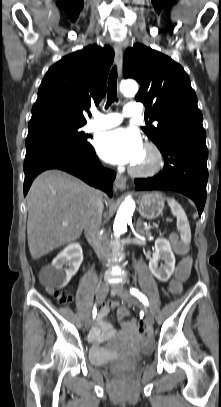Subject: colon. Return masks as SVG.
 <instances>
[{"label": "colon", "mask_w": 221, "mask_h": 407, "mask_svg": "<svg viewBox=\"0 0 221 407\" xmlns=\"http://www.w3.org/2000/svg\"><path fill=\"white\" fill-rule=\"evenodd\" d=\"M174 245L178 252L185 253L187 246L182 242L174 239ZM194 257L192 255H184L182 260L178 261V265L175 268V279L168 284V289L172 295H183L186 291V283L191 278L192 266ZM50 294L60 303H66L70 301V296L65 291H49ZM116 315L121 322V326L125 330H132L134 337L139 336L143 332V328L139 325L137 320H130V311L126 305H118L116 308Z\"/></svg>", "instance_id": "obj_1"}]
</instances>
